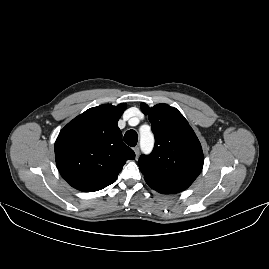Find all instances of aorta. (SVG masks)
<instances>
[{
	"label": "aorta",
	"mask_w": 269,
	"mask_h": 269,
	"mask_svg": "<svg viewBox=\"0 0 269 269\" xmlns=\"http://www.w3.org/2000/svg\"><path fill=\"white\" fill-rule=\"evenodd\" d=\"M140 144L144 152H150L154 144V137L152 133L148 131H143L141 134Z\"/></svg>",
	"instance_id": "762f6f07"
}]
</instances>
